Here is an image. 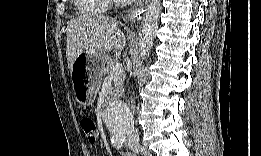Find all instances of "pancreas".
I'll list each match as a JSON object with an SVG mask.
<instances>
[{
	"instance_id": "1",
	"label": "pancreas",
	"mask_w": 261,
	"mask_h": 156,
	"mask_svg": "<svg viewBox=\"0 0 261 156\" xmlns=\"http://www.w3.org/2000/svg\"><path fill=\"white\" fill-rule=\"evenodd\" d=\"M118 58L115 57L113 59H108L106 64L101 69V74L104 76H109L111 73L112 67L118 63ZM125 80V73L122 72L120 74L113 75V92L118 94L119 91L122 89L123 82Z\"/></svg>"
}]
</instances>
